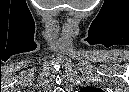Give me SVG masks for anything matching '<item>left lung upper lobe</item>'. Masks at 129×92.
I'll use <instances>...</instances> for the list:
<instances>
[{
  "instance_id": "1",
  "label": "left lung upper lobe",
  "mask_w": 129,
  "mask_h": 92,
  "mask_svg": "<svg viewBox=\"0 0 129 92\" xmlns=\"http://www.w3.org/2000/svg\"><path fill=\"white\" fill-rule=\"evenodd\" d=\"M82 92H103L102 89L94 88V87H85L81 90Z\"/></svg>"
}]
</instances>
